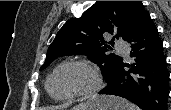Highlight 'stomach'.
I'll list each match as a JSON object with an SVG mask.
<instances>
[{
  "instance_id": "obj_1",
  "label": "stomach",
  "mask_w": 171,
  "mask_h": 110,
  "mask_svg": "<svg viewBox=\"0 0 171 110\" xmlns=\"http://www.w3.org/2000/svg\"><path fill=\"white\" fill-rule=\"evenodd\" d=\"M124 102L116 97H100L70 110H125Z\"/></svg>"
}]
</instances>
